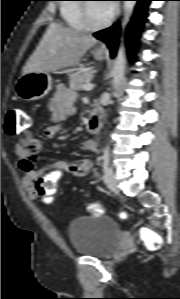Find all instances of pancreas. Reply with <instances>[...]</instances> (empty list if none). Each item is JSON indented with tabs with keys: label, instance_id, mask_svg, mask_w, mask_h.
<instances>
[{
	"label": "pancreas",
	"instance_id": "pancreas-1",
	"mask_svg": "<svg viewBox=\"0 0 180 299\" xmlns=\"http://www.w3.org/2000/svg\"><path fill=\"white\" fill-rule=\"evenodd\" d=\"M94 73L95 71H86L72 76L69 81L70 88L76 91L83 90V86L90 83Z\"/></svg>",
	"mask_w": 180,
	"mask_h": 299
}]
</instances>
